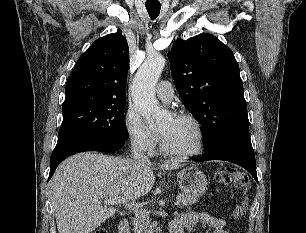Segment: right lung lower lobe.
Returning <instances> with one entry per match:
<instances>
[{
	"label": "right lung lower lobe",
	"mask_w": 306,
	"mask_h": 233,
	"mask_svg": "<svg viewBox=\"0 0 306 233\" xmlns=\"http://www.w3.org/2000/svg\"><path fill=\"white\" fill-rule=\"evenodd\" d=\"M125 140L83 139L55 149L50 158V173L48 180L54 174L57 166L70 155L83 151L114 152L121 149Z\"/></svg>",
	"instance_id": "98d812e1"
}]
</instances>
